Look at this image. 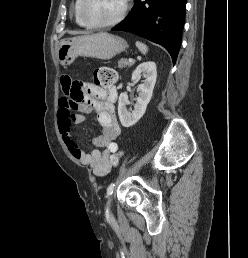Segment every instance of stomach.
I'll use <instances>...</instances> for the list:
<instances>
[{
    "mask_svg": "<svg viewBox=\"0 0 248 258\" xmlns=\"http://www.w3.org/2000/svg\"><path fill=\"white\" fill-rule=\"evenodd\" d=\"M127 47V42L121 37L101 32L61 40L57 57L61 65L68 66L79 56L111 59Z\"/></svg>",
    "mask_w": 248,
    "mask_h": 258,
    "instance_id": "obj_1",
    "label": "stomach"
}]
</instances>
